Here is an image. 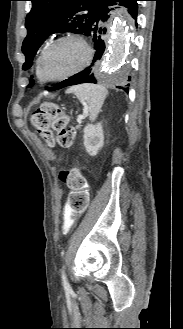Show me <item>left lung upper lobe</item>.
I'll return each instance as SVG.
<instances>
[{
  "label": "left lung upper lobe",
  "instance_id": "1",
  "mask_svg": "<svg viewBox=\"0 0 183 329\" xmlns=\"http://www.w3.org/2000/svg\"><path fill=\"white\" fill-rule=\"evenodd\" d=\"M32 9L27 14L28 34L22 52L26 57L23 69L32 66L38 48L53 33L72 32L87 35L99 8L107 0H30ZM31 80L29 87L33 86Z\"/></svg>",
  "mask_w": 183,
  "mask_h": 329
}]
</instances>
